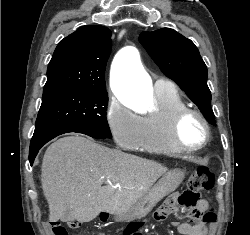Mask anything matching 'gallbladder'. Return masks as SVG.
Wrapping results in <instances>:
<instances>
[{"label": "gallbladder", "mask_w": 250, "mask_h": 235, "mask_svg": "<svg viewBox=\"0 0 250 235\" xmlns=\"http://www.w3.org/2000/svg\"><path fill=\"white\" fill-rule=\"evenodd\" d=\"M69 214H68V212H66V216L65 217H67Z\"/></svg>", "instance_id": "1"}]
</instances>
